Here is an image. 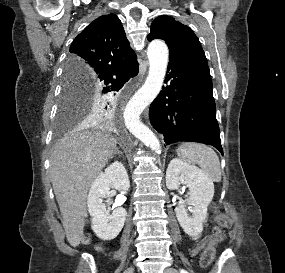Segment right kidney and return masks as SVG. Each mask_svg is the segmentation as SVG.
Returning <instances> with one entry per match:
<instances>
[{"label": "right kidney", "mask_w": 285, "mask_h": 273, "mask_svg": "<svg viewBox=\"0 0 285 273\" xmlns=\"http://www.w3.org/2000/svg\"><path fill=\"white\" fill-rule=\"evenodd\" d=\"M113 187L118 191L128 190L130 182L123 164L116 161L101 172L91 185L87 205L92 217V230L102 240H112L122 230L127 212L124 208H116L111 215L106 210L105 198L110 203L109 190Z\"/></svg>", "instance_id": "1"}]
</instances>
